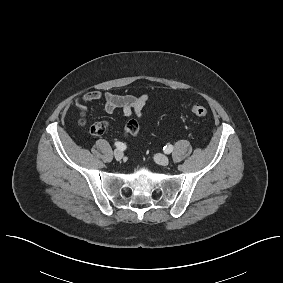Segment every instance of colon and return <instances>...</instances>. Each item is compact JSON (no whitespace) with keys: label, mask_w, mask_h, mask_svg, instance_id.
<instances>
[{"label":"colon","mask_w":283,"mask_h":283,"mask_svg":"<svg viewBox=\"0 0 283 283\" xmlns=\"http://www.w3.org/2000/svg\"><path fill=\"white\" fill-rule=\"evenodd\" d=\"M191 112L197 117H206L208 115L207 109L201 105H193L191 107ZM132 125H135V123H132ZM107 127V122H97L91 127V132L95 135H102Z\"/></svg>","instance_id":"5ec220e1"}]
</instances>
